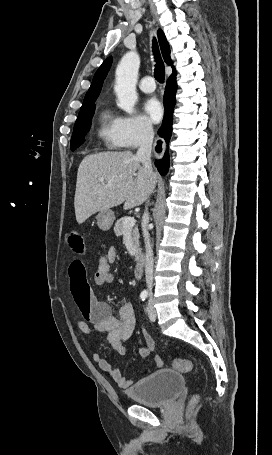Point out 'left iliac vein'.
I'll return each mask as SVG.
<instances>
[{
    "label": "left iliac vein",
    "mask_w": 272,
    "mask_h": 455,
    "mask_svg": "<svg viewBox=\"0 0 272 455\" xmlns=\"http://www.w3.org/2000/svg\"><path fill=\"white\" fill-rule=\"evenodd\" d=\"M148 315L151 321L156 320V311L155 308L153 307V304L151 301H149V306H148Z\"/></svg>",
    "instance_id": "obj_1"
}]
</instances>
